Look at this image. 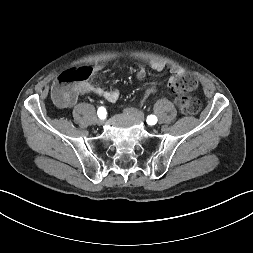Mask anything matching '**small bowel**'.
Instances as JSON below:
<instances>
[{
	"instance_id": "c3829d8e",
	"label": "small bowel",
	"mask_w": 253,
	"mask_h": 253,
	"mask_svg": "<svg viewBox=\"0 0 253 253\" xmlns=\"http://www.w3.org/2000/svg\"><path fill=\"white\" fill-rule=\"evenodd\" d=\"M151 67L156 71H162L164 69L163 64L158 63V62H152ZM101 69H102L101 66H95V67L90 68L92 73H96V72L100 71ZM170 72L172 74V77H175V76H178V75H181L182 73H184L183 69L180 67H172L170 69ZM136 75L139 80L145 79V77L147 75L146 69L144 67H140L138 69ZM88 93H94L96 95H99L108 102H115L119 98V92L116 89L105 90L101 87H97V86L93 85L89 81H83V82H80L76 85L75 97H74L73 101L70 102L67 106H71L75 103L78 94H88Z\"/></svg>"
}]
</instances>
